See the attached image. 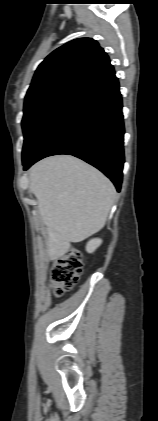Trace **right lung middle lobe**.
I'll use <instances>...</instances> for the list:
<instances>
[{
  "mask_svg": "<svg viewBox=\"0 0 158 421\" xmlns=\"http://www.w3.org/2000/svg\"><path fill=\"white\" fill-rule=\"evenodd\" d=\"M80 85L73 82H61L26 95L22 119L23 161L29 157L45 126Z\"/></svg>",
  "mask_w": 158,
  "mask_h": 421,
  "instance_id": "dd1d6c3e",
  "label": "right lung middle lobe"
}]
</instances>
